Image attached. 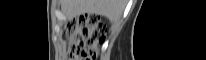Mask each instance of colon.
Wrapping results in <instances>:
<instances>
[{
  "instance_id": "colon-1",
  "label": "colon",
  "mask_w": 206,
  "mask_h": 60,
  "mask_svg": "<svg viewBox=\"0 0 206 60\" xmlns=\"http://www.w3.org/2000/svg\"><path fill=\"white\" fill-rule=\"evenodd\" d=\"M65 34L68 60H94L105 40V27L97 15L86 14L69 21Z\"/></svg>"
}]
</instances>
